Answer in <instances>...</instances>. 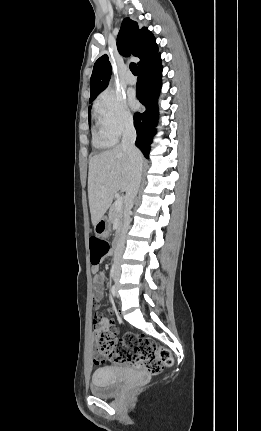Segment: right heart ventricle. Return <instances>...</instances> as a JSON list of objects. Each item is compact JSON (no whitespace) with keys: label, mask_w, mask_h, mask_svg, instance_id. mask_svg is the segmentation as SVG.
Here are the masks:
<instances>
[{"label":"right heart ventricle","mask_w":261,"mask_h":431,"mask_svg":"<svg viewBox=\"0 0 261 431\" xmlns=\"http://www.w3.org/2000/svg\"><path fill=\"white\" fill-rule=\"evenodd\" d=\"M95 145L99 148H109L116 142V137L109 134L101 124V121L97 115V127L94 133Z\"/></svg>","instance_id":"obj_1"}]
</instances>
